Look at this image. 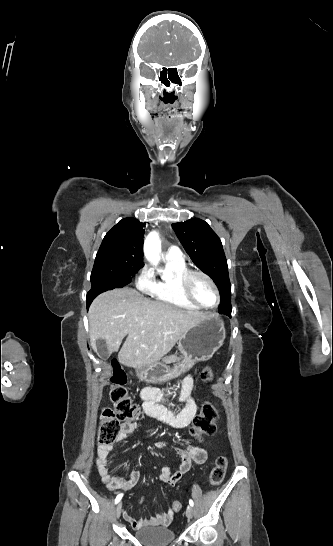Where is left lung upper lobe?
I'll list each match as a JSON object with an SVG mask.
<instances>
[{
  "instance_id": "5c2ea615",
  "label": "left lung upper lobe",
  "mask_w": 333,
  "mask_h": 546,
  "mask_svg": "<svg viewBox=\"0 0 333 546\" xmlns=\"http://www.w3.org/2000/svg\"><path fill=\"white\" fill-rule=\"evenodd\" d=\"M172 228L194 264L217 285L221 295L219 313L231 317V284L219 237L198 218L174 223Z\"/></svg>"
}]
</instances>
